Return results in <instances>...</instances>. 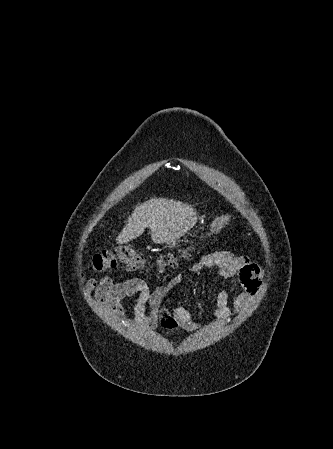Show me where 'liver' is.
<instances>
[{"label": "liver", "instance_id": "obj_1", "mask_svg": "<svg viewBox=\"0 0 333 449\" xmlns=\"http://www.w3.org/2000/svg\"><path fill=\"white\" fill-rule=\"evenodd\" d=\"M196 220V211L188 204L165 198H151L135 206L116 242L128 243L149 227L152 241L156 244L165 243L180 238L195 225Z\"/></svg>", "mask_w": 333, "mask_h": 449}]
</instances>
